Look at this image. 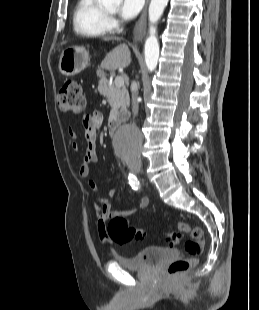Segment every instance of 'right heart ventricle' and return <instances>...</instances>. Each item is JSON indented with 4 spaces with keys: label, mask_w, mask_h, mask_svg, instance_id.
Wrapping results in <instances>:
<instances>
[{
    "label": "right heart ventricle",
    "mask_w": 259,
    "mask_h": 310,
    "mask_svg": "<svg viewBox=\"0 0 259 310\" xmlns=\"http://www.w3.org/2000/svg\"><path fill=\"white\" fill-rule=\"evenodd\" d=\"M73 24L75 31L84 36H102L111 30L108 15L97 0H78Z\"/></svg>",
    "instance_id": "obj_1"
}]
</instances>
